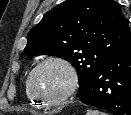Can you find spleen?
<instances>
[{"label":"spleen","instance_id":"3e777b00","mask_svg":"<svg viewBox=\"0 0 131 115\" xmlns=\"http://www.w3.org/2000/svg\"><path fill=\"white\" fill-rule=\"evenodd\" d=\"M86 115H104V114L97 110H94V111H88Z\"/></svg>","mask_w":131,"mask_h":115}]
</instances>
